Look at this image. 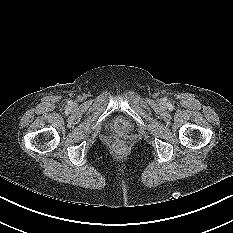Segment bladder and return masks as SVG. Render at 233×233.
<instances>
[{
  "label": "bladder",
  "instance_id": "31cf9c89",
  "mask_svg": "<svg viewBox=\"0 0 233 233\" xmlns=\"http://www.w3.org/2000/svg\"><path fill=\"white\" fill-rule=\"evenodd\" d=\"M113 125L120 131H128L129 125L125 120L118 119L113 122Z\"/></svg>",
  "mask_w": 233,
  "mask_h": 233
}]
</instances>
